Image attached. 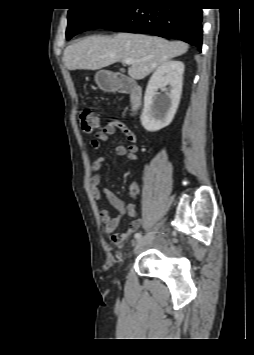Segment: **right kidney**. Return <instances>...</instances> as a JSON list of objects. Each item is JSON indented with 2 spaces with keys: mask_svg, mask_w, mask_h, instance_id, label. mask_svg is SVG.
Segmentation results:
<instances>
[{
  "mask_svg": "<svg viewBox=\"0 0 254 355\" xmlns=\"http://www.w3.org/2000/svg\"><path fill=\"white\" fill-rule=\"evenodd\" d=\"M184 73L181 61L169 60L161 64L151 76L145 96L141 115L142 126L149 132H156L168 126L178 108ZM170 85V91L164 95L158 93Z\"/></svg>",
  "mask_w": 254,
  "mask_h": 355,
  "instance_id": "right-kidney-1",
  "label": "right kidney"
}]
</instances>
